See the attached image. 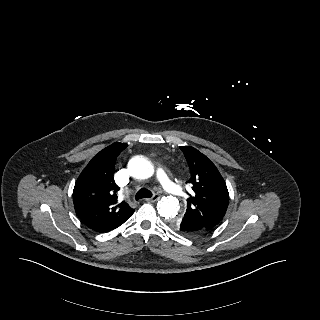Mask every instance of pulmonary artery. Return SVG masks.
<instances>
[{
	"label": "pulmonary artery",
	"mask_w": 320,
	"mask_h": 320,
	"mask_svg": "<svg viewBox=\"0 0 320 320\" xmlns=\"http://www.w3.org/2000/svg\"><path fill=\"white\" fill-rule=\"evenodd\" d=\"M156 177L162 187L169 193H172L174 195H181L182 192L178 186H176L168 177L164 169L157 168L156 169Z\"/></svg>",
	"instance_id": "obj_1"
}]
</instances>
